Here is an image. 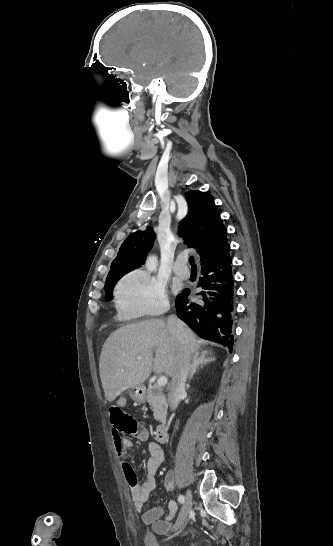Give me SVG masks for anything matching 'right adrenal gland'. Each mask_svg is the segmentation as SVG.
I'll return each instance as SVG.
<instances>
[{
  "instance_id": "2a0ac1e0",
  "label": "right adrenal gland",
  "mask_w": 333,
  "mask_h": 546,
  "mask_svg": "<svg viewBox=\"0 0 333 546\" xmlns=\"http://www.w3.org/2000/svg\"><path fill=\"white\" fill-rule=\"evenodd\" d=\"M208 355H211V352L205 351V350L201 352L196 351L193 357V363L191 366V370L189 372L188 381L192 380L194 374L200 367H202L203 365L209 362L215 361V358Z\"/></svg>"
}]
</instances>
